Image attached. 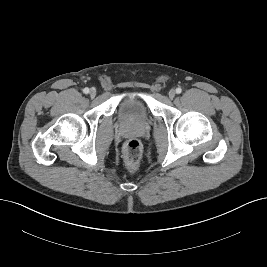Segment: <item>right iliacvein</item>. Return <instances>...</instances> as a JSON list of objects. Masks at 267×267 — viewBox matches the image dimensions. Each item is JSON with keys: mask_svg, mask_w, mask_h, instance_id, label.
<instances>
[{"mask_svg": "<svg viewBox=\"0 0 267 267\" xmlns=\"http://www.w3.org/2000/svg\"><path fill=\"white\" fill-rule=\"evenodd\" d=\"M89 93H90L91 97H95L96 96V89L92 88Z\"/></svg>", "mask_w": 267, "mask_h": 267, "instance_id": "1", "label": "right iliac vein"}]
</instances>
